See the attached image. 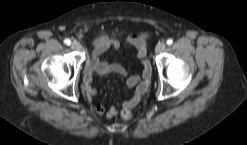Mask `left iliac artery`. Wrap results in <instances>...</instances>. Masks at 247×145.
Instances as JSON below:
<instances>
[{
    "label": "left iliac artery",
    "mask_w": 247,
    "mask_h": 145,
    "mask_svg": "<svg viewBox=\"0 0 247 145\" xmlns=\"http://www.w3.org/2000/svg\"><path fill=\"white\" fill-rule=\"evenodd\" d=\"M166 44H167V45H172V44H173V40H172V39H168V40L166 41Z\"/></svg>",
    "instance_id": "44dca946"
}]
</instances>
